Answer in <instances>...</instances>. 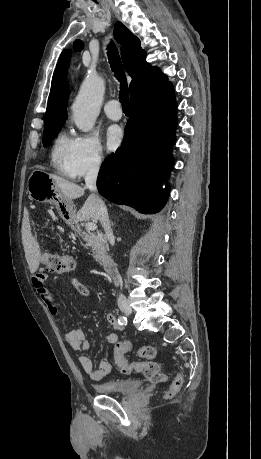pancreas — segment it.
<instances>
[{"label":"pancreas","mask_w":261,"mask_h":459,"mask_svg":"<svg viewBox=\"0 0 261 459\" xmlns=\"http://www.w3.org/2000/svg\"><path fill=\"white\" fill-rule=\"evenodd\" d=\"M87 244L91 247L96 261L101 263L107 255V243L102 234L89 233L86 235Z\"/></svg>","instance_id":"1"}]
</instances>
